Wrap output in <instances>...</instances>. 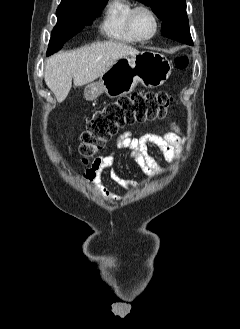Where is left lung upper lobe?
I'll return each instance as SVG.
<instances>
[{"instance_id":"5c2ea615","label":"left lung upper lobe","mask_w":240,"mask_h":329,"mask_svg":"<svg viewBox=\"0 0 240 329\" xmlns=\"http://www.w3.org/2000/svg\"><path fill=\"white\" fill-rule=\"evenodd\" d=\"M152 8L163 20L161 34L167 38L192 45L185 0H138Z\"/></svg>"}]
</instances>
